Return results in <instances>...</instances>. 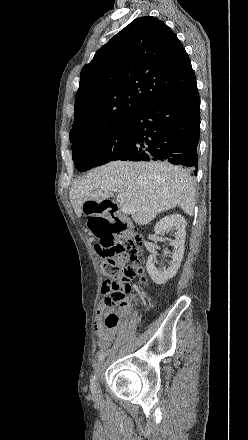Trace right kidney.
I'll list each match as a JSON object with an SVG mask.
<instances>
[{
	"label": "right kidney",
	"mask_w": 248,
	"mask_h": 440,
	"mask_svg": "<svg viewBox=\"0 0 248 440\" xmlns=\"http://www.w3.org/2000/svg\"><path fill=\"white\" fill-rule=\"evenodd\" d=\"M185 229L186 220L180 214H172L166 216L162 218L154 227V231L156 234L164 235L166 231L171 230L175 236V239L171 241V245L173 246L174 250L171 255L172 260L168 268H156L155 251H152L147 259V271L154 283L158 285L164 284L176 275L184 255L186 238Z\"/></svg>",
	"instance_id": "obj_1"
}]
</instances>
